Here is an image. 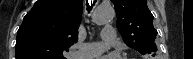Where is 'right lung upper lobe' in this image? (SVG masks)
Segmentation results:
<instances>
[{"mask_svg":"<svg viewBox=\"0 0 193 59\" xmlns=\"http://www.w3.org/2000/svg\"><path fill=\"white\" fill-rule=\"evenodd\" d=\"M82 0H38L17 32L16 59H65L77 41Z\"/></svg>","mask_w":193,"mask_h":59,"instance_id":"obj_1","label":"right lung upper lobe"}]
</instances>
